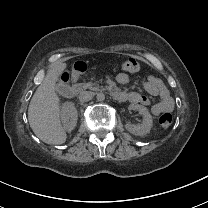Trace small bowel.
Wrapping results in <instances>:
<instances>
[{
  "label": "small bowel",
  "mask_w": 208,
  "mask_h": 208,
  "mask_svg": "<svg viewBox=\"0 0 208 208\" xmlns=\"http://www.w3.org/2000/svg\"><path fill=\"white\" fill-rule=\"evenodd\" d=\"M116 79L120 85H126L129 82L128 75L124 73L118 74ZM142 86L149 94L160 97V101L154 104L151 108L154 115H160L172 111L174 106L173 99L170 96L168 89L160 79L152 75L148 76L142 83ZM124 95L129 102L140 103L145 106L150 104V100L147 96L141 95L137 92L132 91Z\"/></svg>",
  "instance_id": "small-bowel-1"
}]
</instances>
